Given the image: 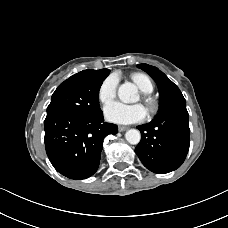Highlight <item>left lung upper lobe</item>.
Here are the masks:
<instances>
[{
	"instance_id": "5c2ea615",
	"label": "left lung upper lobe",
	"mask_w": 228,
	"mask_h": 228,
	"mask_svg": "<svg viewBox=\"0 0 228 228\" xmlns=\"http://www.w3.org/2000/svg\"><path fill=\"white\" fill-rule=\"evenodd\" d=\"M140 69L147 72L157 83L160 91V111L156 117L160 116L167 109L181 102H186L181 91L162 71L158 68L148 65H137Z\"/></svg>"
}]
</instances>
